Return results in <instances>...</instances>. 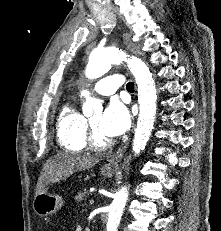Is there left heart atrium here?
<instances>
[{"mask_svg": "<svg viewBox=\"0 0 221 231\" xmlns=\"http://www.w3.org/2000/svg\"><path fill=\"white\" fill-rule=\"evenodd\" d=\"M129 125L130 117L127 110L120 103L112 102L101 116L99 129L104 135L116 138L124 134Z\"/></svg>", "mask_w": 221, "mask_h": 231, "instance_id": "1", "label": "left heart atrium"}]
</instances>
